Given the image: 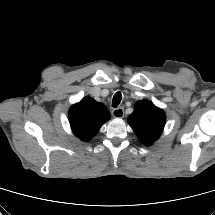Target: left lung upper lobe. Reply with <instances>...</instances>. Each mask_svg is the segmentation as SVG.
Masks as SVG:
<instances>
[{
	"mask_svg": "<svg viewBox=\"0 0 215 215\" xmlns=\"http://www.w3.org/2000/svg\"><path fill=\"white\" fill-rule=\"evenodd\" d=\"M165 114L148 100L138 101L128 122L138 139L146 146L152 145L161 135L165 125Z\"/></svg>",
	"mask_w": 215,
	"mask_h": 215,
	"instance_id": "left-lung-upper-lobe-1",
	"label": "left lung upper lobe"
}]
</instances>
